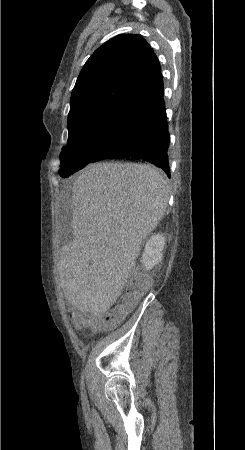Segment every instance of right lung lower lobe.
Masks as SVG:
<instances>
[{"instance_id":"right-lung-lower-lobe-1","label":"right lung lower lobe","mask_w":245,"mask_h":450,"mask_svg":"<svg viewBox=\"0 0 245 450\" xmlns=\"http://www.w3.org/2000/svg\"><path fill=\"white\" fill-rule=\"evenodd\" d=\"M127 136L92 162L111 158H136L162 168L170 177L168 161L169 134L163 96L140 110L132 120Z\"/></svg>"}]
</instances>
